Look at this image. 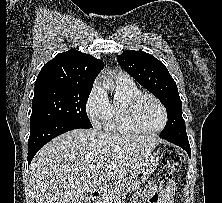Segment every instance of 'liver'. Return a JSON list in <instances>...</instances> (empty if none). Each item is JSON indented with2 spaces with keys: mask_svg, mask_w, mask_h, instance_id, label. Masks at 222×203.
<instances>
[{
  "mask_svg": "<svg viewBox=\"0 0 222 203\" xmlns=\"http://www.w3.org/2000/svg\"><path fill=\"white\" fill-rule=\"evenodd\" d=\"M159 142L90 129L66 132L41 148L30 165L36 203H82L108 181H123Z\"/></svg>",
  "mask_w": 222,
  "mask_h": 203,
  "instance_id": "6515ba94",
  "label": "liver"
}]
</instances>
